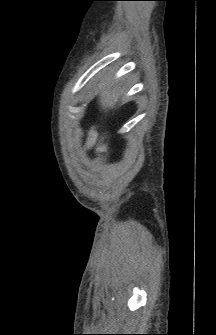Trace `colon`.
<instances>
[{
	"label": "colon",
	"instance_id": "colon-1",
	"mask_svg": "<svg viewBox=\"0 0 216 335\" xmlns=\"http://www.w3.org/2000/svg\"><path fill=\"white\" fill-rule=\"evenodd\" d=\"M89 146L99 149L103 146L102 142H99L98 135L95 131L91 133L89 138ZM107 159L105 158V151H94V154L86 155V165L91 166L90 170L93 172H104Z\"/></svg>",
	"mask_w": 216,
	"mask_h": 335
}]
</instances>
